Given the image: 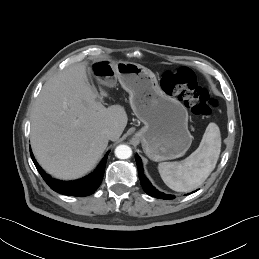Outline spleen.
<instances>
[{
  "label": "spleen",
  "mask_w": 259,
  "mask_h": 259,
  "mask_svg": "<svg viewBox=\"0 0 259 259\" xmlns=\"http://www.w3.org/2000/svg\"><path fill=\"white\" fill-rule=\"evenodd\" d=\"M221 151V135L215 123H209L199 147L182 162H162L158 171L164 183L174 191L189 192L200 187L214 170Z\"/></svg>",
  "instance_id": "3e777b00"
}]
</instances>
